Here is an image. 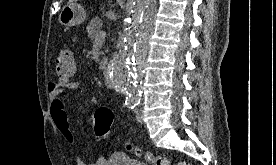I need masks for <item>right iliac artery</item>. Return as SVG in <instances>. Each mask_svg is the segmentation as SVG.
Returning <instances> with one entry per match:
<instances>
[{
	"label": "right iliac artery",
	"mask_w": 276,
	"mask_h": 165,
	"mask_svg": "<svg viewBox=\"0 0 276 165\" xmlns=\"http://www.w3.org/2000/svg\"><path fill=\"white\" fill-rule=\"evenodd\" d=\"M139 101L136 99L126 100V106L130 109H134L138 105Z\"/></svg>",
	"instance_id": "1"
}]
</instances>
